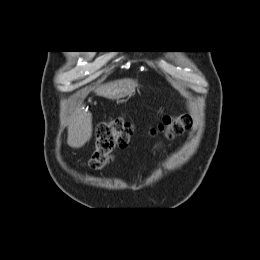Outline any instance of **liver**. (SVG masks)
I'll use <instances>...</instances> for the list:
<instances>
[{
	"label": "liver",
	"mask_w": 260,
	"mask_h": 260,
	"mask_svg": "<svg viewBox=\"0 0 260 260\" xmlns=\"http://www.w3.org/2000/svg\"><path fill=\"white\" fill-rule=\"evenodd\" d=\"M116 86L115 83H108L97 89L101 96L113 99L111 93ZM92 136V117L89 112L83 110V106L76 107L70 124L68 126L67 143L72 148H80L91 139Z\"/></svg>",
	"instance_id": "6515ba94"
}]
</instances>
